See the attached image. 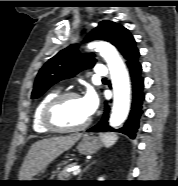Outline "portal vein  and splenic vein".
Returning <instances> with one entry per match:
<instances>
[{
    "label": "portal vein and splenic vein",
    "instance_id": "1",
    "mask_svg": "<svg viewBox=\"0 0 178 186\" xmlns=\"http://www.w3.org/2000/svg\"><path fill=\"white\" fill-rule=\"evenodd\" d=\"M80 172H81V169L78 168L73 171V175L76 176V175L80 174Z\"/></svg>",
    "mask_w": 178,
    "mask_h": 186
}]
</instances>
